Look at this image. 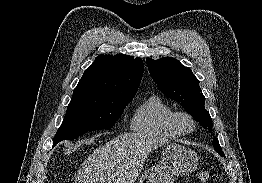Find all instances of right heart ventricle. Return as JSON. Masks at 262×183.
Returning <instances> with one entry per match:
<instances>
[{
    "mask_svg": "<svg viewBox=\"0 0 262 183\" xmlns=\"http://www.w3.org/2000/svg\"><path fill=\"white\" fill-rule=\"evenodd\" d=\"M175 110L159 96L153 95L141 103L134 112L133 131L167 139L183 136L173 124Z\"/></svg>",
    "mask_w": 262,
    "mask_h": 183,
    "instance_id": "obj_1",
    "label": "right heart ventricle"
}]
</instances>
